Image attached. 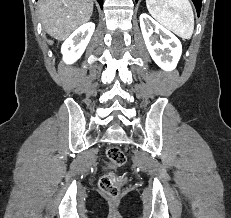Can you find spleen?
<instances>
[{"instance_id":"obj_1","label":"spleen","mask_w":231,"mask_h":218,"mask_svg":"<svg viewBox=\"0 0 231 218\" xmlns=\"http://www.w3.org/2000/svg\"><path fill=\"white\" fill-rule=\"evenodd\" d=\"M149 13L183 39L194 30V14L189 0H146Z\"/></svg>"}]
</instances>
